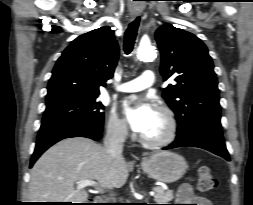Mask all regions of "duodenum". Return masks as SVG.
I'll use <instances>...</instances> for the list:
<instances>
[{
  "label": "duodenum",
  "mask_w": 253,
  "mask_h": 205,
  "mask_svg": "<svg viewBox=\"0 0 253 205\" xmlns=\"http://www.w3.org/2000/svg\"><path fill=\"white\" fill-rule=\"evenodd\" d=\"M93 201H94V202H96V203H99V202H101V201H102V199H101V198H99V197H96V198H94V199H93Z\"/></svg>",
  "instance_id": "duodenum-1"
}]
</instances>
